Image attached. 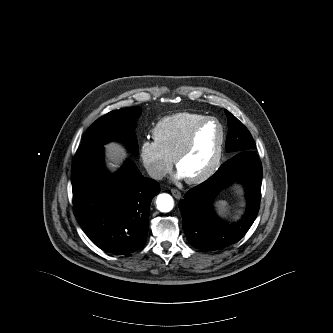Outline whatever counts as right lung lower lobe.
Segmentation results:
<instances>
[{
    "mask_svg": "<svg viewBox=\"0 0 333 333\" xmlns=\"http://www.w3.org/2000/svg\"><path fill=\"white\" fill-rule=\"evenodd\" d=\"M72 190L74 214L95 245L118 255L144 245L149 207L160 188L132 162L110 177L103 165V147H81L72 164Z\"/></svg>",
    "mask_w": 333,
    "mask_h": 333,
    "instance_id": "1",
    "label": "right lung lower lobe"
}]
</instances>
